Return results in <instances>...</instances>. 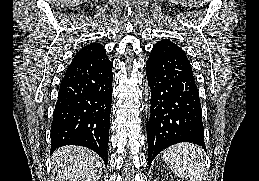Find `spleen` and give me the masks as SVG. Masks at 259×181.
<instances>
[{"label": "spleen", "instance_id": "obj_1", "mask_svg": "<svg viewBox=\"0 0 259 181\" xmlns=\"http://www.w3.org/2000/svg\"><path fill=\"white\" fill-rule=\"evenodd\" d=\"M163 158L170 170L181 178L203 181L205 175L202 149L191 143L175 144L163 152Z\"/></svg>", "mask_w": 259, "mask_h": 181}]
</instances>
